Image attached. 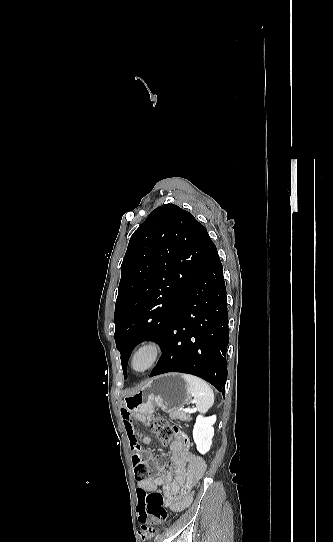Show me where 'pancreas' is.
Here are the masks:
<instances>
[{"label":"pancreas","instance_id":"obj_1","mask_svg":"<svg viewBox=\"0 0 333 542\" xmlns=\"http://www.w3.org/2000/svg\"><path fill=\"white\" fill-rule=\"evenodd\" d=\"M168 414L171 420H181V422H190L191 420L189 414H186V412H175V410H172Z\"/></svg>","mask_w":333,"mask_h":542}]
</instances>
